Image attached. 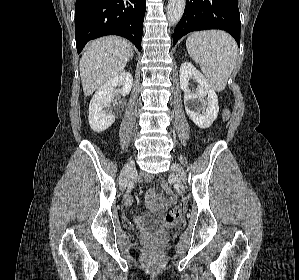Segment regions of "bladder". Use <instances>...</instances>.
Returning a JSON list of instances; mask_svg holds the SVG:
<instances>
[{"mask_svg":"<svg viewBox=\"0 0 299 280\" xmlns=\"http://www.w3.org/2000/svg\"><path fill=\"white\" fill-rule=\"evenodd\" d=\"M144 225L150 228H161L164 226V222L161 220L160 217L156 215H151L144 219L143 221Z\"/></svg>","mask_w":299,"mask_h":280,"instance_id":"obj_1","label":"bladder"}]
</instances>
